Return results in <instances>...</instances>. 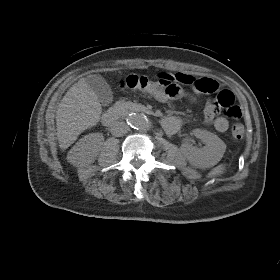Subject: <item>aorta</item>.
<instances>
[{
    "label": "aorta",
    "instance_id": "762f6f07",
    "mask_svg": "<svg viewBox=\"0 0 280 280\" xmlns=\"http://www.w3.org/2000/svg\"><path fill=\"white\" fill-rule=\"evenodd\" d=\"M128 124L138 130L148 128L150 123L148 118L144 114L132 113L127 118Z\"/></svg>",
    "mask_w": 280,
    "mask_h": 280
}]
</instances>
